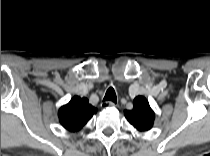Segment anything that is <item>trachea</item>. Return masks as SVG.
I'll return each mask as SVG.
<instances>
[{
  "label": "trachea",
  "instance_id": "1",
  "mask_svg": "<svg viewBox=\"0 0 210 156\" xmlns=\"http://www.w3.org/2000/svg\"><path fill=\"white\" fill-rule=\"evenodd\" d=\"M104 101H112L114 103H117L116 93L112 87L108 88L104 97Z\"/></svg>",
  "mask_w": 210,
  "mask_h": 156
}]
</instances>
